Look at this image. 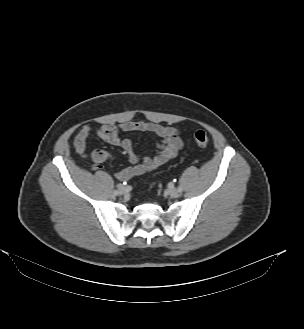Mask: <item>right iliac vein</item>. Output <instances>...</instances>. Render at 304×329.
<instances>
[{"label": "right iliac vein", "instance_id": "obj_1", "mask_svg": "<svg viewBox=\"0 0 304 329\" xmlns=\"http://www.w3.org/2000/svg\"><path fill=\"white\" fill-rule=\"evenodd\" d=\"M126 192H127L126 187H124L123 185H119V186H118V194H119V195H123V194H125Z\"/></svg>", "mask_w": 304, "mask_h": 329}]
</instances>
